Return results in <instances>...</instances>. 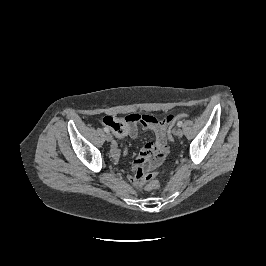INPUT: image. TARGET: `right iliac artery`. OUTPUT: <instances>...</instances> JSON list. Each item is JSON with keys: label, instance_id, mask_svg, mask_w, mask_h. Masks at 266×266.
<instances>
[{"label": "right iliac artery", "instance_id": "82829eb1", "mask_svg": "<svg viewBox=\"0 0 266 266\" xmlns=\"http://www.w3.org/2000/svg\"><path fill=\"white\" fill-rule=\"evenodd\" d=\"M104 131H105L106 133H108V132H109V128L104 127Z\"/></svg>", "mask_w": 266, "mask_h": 266}]
</instances>
